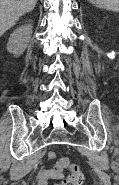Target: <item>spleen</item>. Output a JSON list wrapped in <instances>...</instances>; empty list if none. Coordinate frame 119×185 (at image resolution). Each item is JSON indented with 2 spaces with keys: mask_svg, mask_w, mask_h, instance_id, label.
I'll list each match as a JSON object with an SVG mask.
<instances>
[{
  "mask_svg": "<svg viewBox=\"0 0 119 185\" xmlns=\"http://www.w3.org/2000/svg\"><path fill=\"white\" fill-rule=\"evenodd\" d=\"M92 5L110 10L113 12H119V0H88Z\"/></svg>",
  "mask_w": 119,
  "mask_h": 185,
  "instance_id": "spleen-1",
  "label": "spleen"
}]
</instances>
